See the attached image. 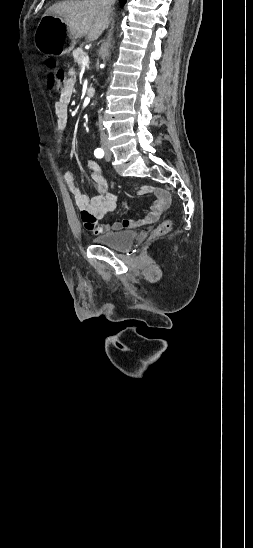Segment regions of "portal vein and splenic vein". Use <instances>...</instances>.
<instances>
[{
	"instance_id": "18ae733b",
	"label": "portal vein and splenic vein",
	"mask_w": 253,
	"mask_h": 548,
	"mask_svg": "<svg viewBox=\"0 0 253 548\" xmlns=\"http://www.w3.org/2000/svg\"><path fill=\"white\" fill-rule=\"evenodd\" d=\"M81 62H82V65H83V66L88 65V63H89V57H88V55H85V56L82 58V61H81Z\"/></svg>"
}]
</instances>
